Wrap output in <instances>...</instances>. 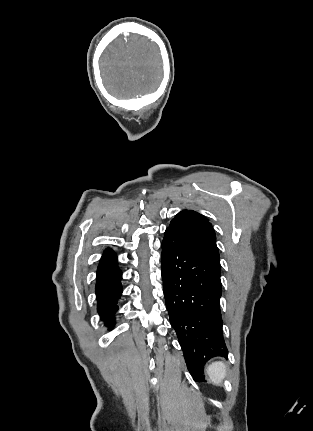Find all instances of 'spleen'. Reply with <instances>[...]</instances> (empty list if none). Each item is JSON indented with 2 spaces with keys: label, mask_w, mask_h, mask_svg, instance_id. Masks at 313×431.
Here are the masks:
<instances>
[{
  "label": "spleen",
  "mask_w": 313,
  "mask_h": 431,
  "mask_svg": "<svg viewBox=\"0 0 313 431\" xmlns=\"http://www.w3.org/2000/svg\"><path fill=\"white\" fill-rule=\"evenodd\" d=\"M206 373L214 384L221 385L226 377V365L222 361L212 362L206 368Z\"/></svg>",
  "instance_id": "obj_1"
}]
</instances>
